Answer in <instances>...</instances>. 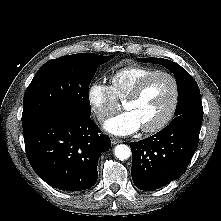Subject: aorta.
<instances>
[{
  "instance_id": "762f6f07",
  "label": "aorta",
  "mask_w": 221,
  "mask_h": 221,
  "mask_svg": "<svg viewBox=\"0 0 221 221\" xmlns=\"http://www.w3.org/2000/svg\"><path fill=\"white\" fill-rule=\"evenodd\" d=\"M114 154L116 158H118L121 161H124L131 156V149L125 144H120L114 148Z\"/></svg>"
}]
</instances>
